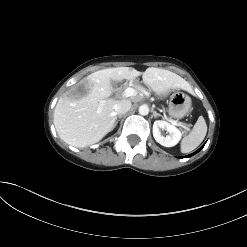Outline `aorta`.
I'll return each mask as SVG.
<instances>
[{
    "label": "aorta",
    "mask_w": 247,
    "mask_h": 247,
    "mask_svg": "<svg viewBox=\"0 0 247 247\" xmlns=\"http://www.w3.org/2000/svg\"><path fill=\"white\" fill-rule=\"evenodd\" d=\"M148 113H149V107L147 105L143 104L139 107V114L140 115L145 116V115H148Z\"/></svg>",
    "instance_id": "762f6f07"
}]
</instances>
